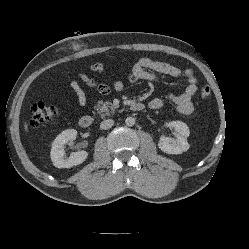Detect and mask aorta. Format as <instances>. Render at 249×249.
Segmentation results:
<instances>
[{
    "instance_id": "1",
    "label": "aorta",
    "mask_w": 249,
    "mask_h": 249,
    "mask_svg": "<svg viewBox=\"0 0 249 249\" xmlns=\"http://www.w3.org/2000/svg\"><path fill=\"white\" fill-rule=\"evenodd\" d=\"M125 123L127 126H133L135 124V119L133 117H127Z\"/></svg>"
}]
</instances>
